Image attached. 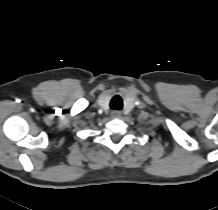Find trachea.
Wrapping results in <instances>:
<instances>
[{
    "label": "trachea",
    "instance_id": "trachea-1",
    "mask_svg": "<svg viewBox=\"0 0 218 210\" xmlns=\"http://www.w3.org/2000/svg\"><path fill=\"white\" fill-rule=\"evenodd\" d=\"M112 109H122V100L119 96H115L112 100H111V104H110Z\"/></svg>",
    "mask_w": 218,
    "mask_h": 210
}]
</instances>
